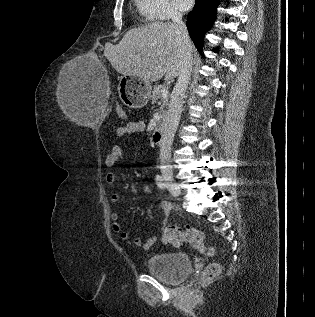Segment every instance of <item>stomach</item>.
Here are the masks:
<instances>
[{
	"mask_svg": "<svg viewBox=\"0 0 315 317\" xmlns=\"http://www.w3.org/2000/svg\"><path fill=\"white\" fill-rule=\"evenodd\" d=\"M152 86L147 80L135 75H123L119 79L118 93L129 108H142L151 96Z\"/></svg>",
	"mask_w": 315,
	"mask_h": 317,
	"instance_id": "1",
	"label": "stomach"
}]
</instances>
